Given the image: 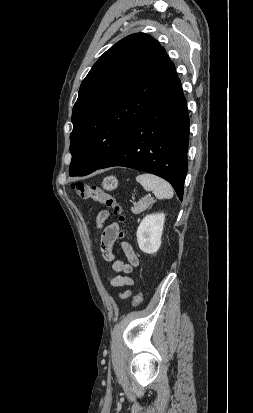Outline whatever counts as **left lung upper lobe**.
I'll return each instance as SVG.
<instances>
[{"label":"left lung upper lobe","mask_w":253,"mask_h":413,"mask_svg":"<svg viewBox=\"0 0 253 413\" xmlns=\"http://www.w3.org/2000/svg\"><path fill=\"white\" fill-rule=\"evenodd\" d=\"M174 73L165 49L145 33L129 35L106 51L83 80L73 107L70 176L102 166Z\"/></svg>","instance_id":"1"}]
</instances>
